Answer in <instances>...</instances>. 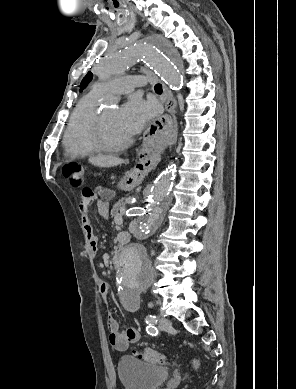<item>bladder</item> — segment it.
<instances>
[{
	"label": "bladder",
	"mask_w": 296,
	"mask_h": 389,
	"mask_svg": "<svg viewBox=\"0 0 296 389\" xmlns=\"http://www.w3.org/2000/svg\"><path fill=\"white\" fill-rule=\"evenodd\" d=\"M117 373L124 389H158L169 377L165 367L128 355L119 359Z\"/></svg>",
	"instance_id": "bladder-1"
}]
</instances>
